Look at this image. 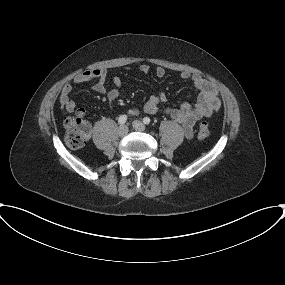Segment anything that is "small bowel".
Listing matches in <instances>:
<instances>
[{"instance_id": "1", "label": "small bowel", "mask_w": 285, "mask_h": 285, "mask_svg": "<svg viewBox=\"0 0 285 285\" xmlns=\"http://www.w3.org/2000/svg\"><path fill=\"white\" fill-rule=\"evenodd\" d=\"M143 73H149L150 67L146 64L140 66ZM158 78L165 75V70L162 67H157L154 70ZM183 80H190L198 92L197 101L195 104L185 102L179 108L167 107L164 112L171 116L174 120L182 124L186 138L193 137L196 123L203 117H209L217 112L221 106V100L216 87L207 79L200 75L191 74L184 71L180 74ZM96 80L93 85V90L107 96L108 103L112 105L121 95L122 82L118 76L113 77L112 81L114 88H107V72L103 69H91L76 75L71 82L66 83L60 94V103L68 111L76 110V102L70 97L73 85ZM167 101V96L164 93L151 96L144 105L143 111L147 114H155L160 111V104ZM129 115L137 116L140 110L132 108L128 111ZM77 114H83L84 110H77Z\"/></svg>"}]
</instances>
